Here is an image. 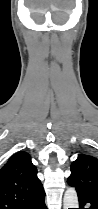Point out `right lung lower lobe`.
<instances>
[{
	"label": "right lung lower lobe",
	"instance_id": "1",
	"mask_svg": "<svg viewBox=\"0 0 98 209\" xmlns=\"http://www.w3.org/2000/svg\"><path fill=\"white\" fill-rule=\"evenodd\" d=\"M45 192L42 191L36 197L28 201L27 203L20 206L18 209H47L45 203Z\"/></svg>",
	"mask_w": 98,
	"mask_h": 209
}]
</instances>
